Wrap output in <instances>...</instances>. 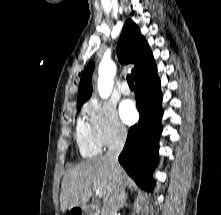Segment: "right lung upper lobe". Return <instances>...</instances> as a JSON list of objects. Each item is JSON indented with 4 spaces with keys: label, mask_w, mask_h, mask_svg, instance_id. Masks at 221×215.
I'll list each match as a JSON object with an SVG mask.
<instances>
[{
    "label": "right lung upper lobe",
    "mask_w": 221,
    "mask_h": 215,
    "mask_svg": "<svg viewBox=\"0 0 221 215\" xmlns=\"http://www.w3.org/2000/svg\"><path fill=\"white\" fill-rule=\"evenodd\" d=\"M117 55L121 63L135 64L132 70L135 82L156 71V65L149 45L132 20H127L123 27L117 46ZM93 70L94 63L90 62L80 80L78 105L85 103L92 95L91 80Z\"/></svg>",
    "instance_id": "right-lung-upper-lobe-1"
}]
</instances>
